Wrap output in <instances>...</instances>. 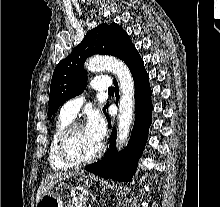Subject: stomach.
Wrapping results in <instances>:
<instances>
[{"instance_id":"1","label":"stomach","mask_w":220,"mask_h":207,"mask_svg":"<svg viewBox=\"0 0 220 207\" xmlns=\"http://www.w3.org/2000/svg\"><path fill=\"white\" fill-rule=\"evenodd\" d=\"M81 184L84 187H90L93 184L92 178L90 176H82ZM62 192V185L58 184L54 190L49 191L47 194L42 196L40 201L37 203V207H63L62 197L60 196Z\"/></svg>"}]
</instances>
